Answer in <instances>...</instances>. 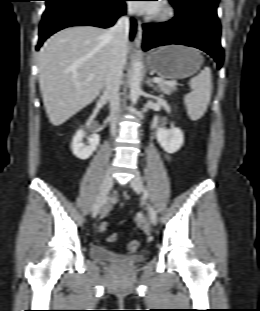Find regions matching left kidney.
Segmentation results:
<instances>
[{
  "label": "left kidney",
  "instance_id": "left-kidney-1",
  "mask_svg": "<svg viewBox=\"0 0 260 311\" xmlns=\"http://www.w3.org/2000/svg\"><path fill=\"white\" fill-rule=\"evenodd\" d=\"M157 140L167 153L173 154L183 145L184 135L179 128L167 130L160 127L157 130Z\"/></svg>",
  "mask_w": 260,
  "mask_h": 311
}]
</instances>
